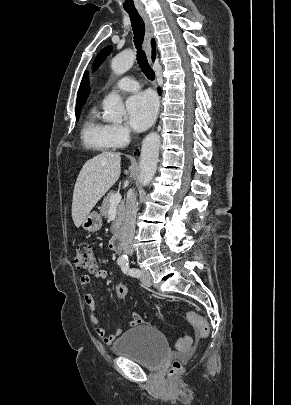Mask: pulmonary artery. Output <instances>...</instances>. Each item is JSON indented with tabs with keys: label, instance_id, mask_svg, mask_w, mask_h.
<instances>
[{
	"label": "pulmonary artery",
	"instance_id": "pulmonary-artery-1",
	"mask_svg": "<svg viewBox=\"0 0 291 405\" xmlns=\"http://www.w3.org/2000/svg\"><path fill=\"white\" fill-rule=\"evenodd\" d=\"M114 88L116 90H119V91H131V92H134V91L139 90L140 86H139V83L136 80H134L131 77L126 76V77H123V78L119 79L115 83Z\"/></svg>",
	"mask_w": 291,
	"mask_h": 405
}]
</instances>
